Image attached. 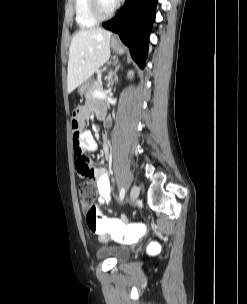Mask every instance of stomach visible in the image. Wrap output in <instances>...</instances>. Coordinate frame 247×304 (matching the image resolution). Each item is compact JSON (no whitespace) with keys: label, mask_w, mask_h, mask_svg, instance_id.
<instances>
[{"label":"stomach","mask_w":247,"mask_h":304,"mask_svg":"<svg viewBox=\"0 0 247 304\" xmlns=\"http://www.w3.org/2000/svg\"><path fill=\"white\" fill-rule=\"evenodd\" d=\"M111 45L116 52H118L120 54H122L124 52V50L118 45V43L116 41L113 40Z\"/></svg>","instance_id":"0dacf381"}]
</instances>
